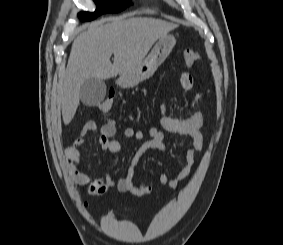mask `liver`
<instances>
[{
  "instance_id": "1",
  "label": "liver",
  "mask_w": 283,
  "mask_h": 245,
  "mask_svg": "<svg viewBox=\"0 0 283 245\" xmlns=\"http://www.w3.org/2000/svg\"><path fill=\"white\" fill-rule=\"evenodd\" d=\"M177 27L145 17L113 18L93 24L73 42L62 80V118L73 119L85 80L122 75L139 65L153 44ZM114 54V63L110 61Z\"/></svg>"
}]
</instances>
